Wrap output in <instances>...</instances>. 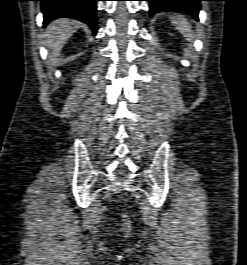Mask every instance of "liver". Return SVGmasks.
I'll return each mask as SVG.
<instances>
[{
	"instance_id": "6515ba94",
	"label": "liver",
	"mask_w": 247,
	"mask_h": 265,
	"mask_svg": "<svg viewBox=\"0 0 247 265\" xmlns=\"http://www.w3.org/2000/svg\"><path fill=\"white\" fill-rule=\"evenodd\" d=\"M80 24L71 19H57L51 22L46 28V46L50 49L51 55L60 53L66 41L76 32Z\"/></svg>"
}]
</instances>
